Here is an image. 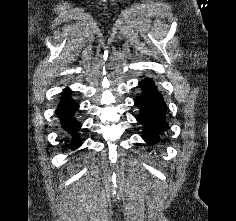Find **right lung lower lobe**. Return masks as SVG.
<instances>
[{
    "label": "right lung lower lobe",
    "instance_id": "98d812e1",
    "mask_svg": "<svg viewBox=\"0 0 236 221\" xmlns=\"http://www.w3.org/2000/svg\"><path fill=\"white\" fill-rule=\"evenodd\" d=\"M63 96V100L57 107V114L61 119L63 128L74 138L71 148H77L81 145L77 133L80 123L74 117V112L78 109V105L71 99L68 89L64 91Z\"/></svg>",
    "mask_w": 236,
    "mask_h": 221
}]
</instances>
